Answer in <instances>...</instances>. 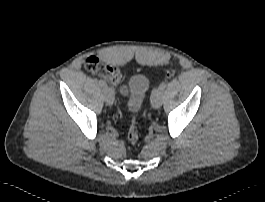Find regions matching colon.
<instances>
[{
    "label": "colon",
    "instance_id": "colon-1",
    "mask_svg": "<svg viewBox=\"0 0 265 202\" xmlns=\"http://www.w3.org/2000/svg\"><path fill=\"white\" fill-rule=\"evenodd\" d=\"M109 73H111V70H108ZM174 73L172 71L167 72V77H173ZM128 139L131 142V144H136L139 140V132L134 123L129 128L128 131Z\"/></svg>",
    "mask_w": 265,
    "mask_h": 202
}]
</instances>
